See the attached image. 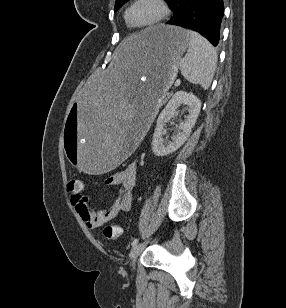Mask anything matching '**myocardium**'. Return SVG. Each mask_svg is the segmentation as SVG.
Here are the masks:
<instances>
[{
	"label": "myocardium",
	"instance_id": "f54148a6",
	"mask_svg": "<svg viewBox=\"0 0 286 308\" xmlns=\"http://www.w3.org/2000/svg\"><path fill=\"white\" fill-rule=\"evenodd\" d=\"M140 1L141 0H133L125 11V16H124L125 21H126L127 25L129 27L133 28V29H148V28H151V27H155V26L159 25L161 22H163L169 14V8H168L165 0H153L158 5V7L160 9L159 16L154 21H152L150 23H147V24H144V25H134L130 21L129 14H130L132 7Z\"/></svg>",
	"mask_w": 286,
	"mask_h": 308
}]
</instances>
